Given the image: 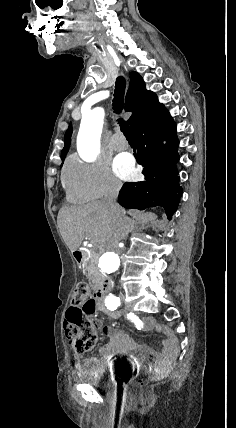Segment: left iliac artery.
<instances>
[{"mask_svg":"<svg viewBox=\"0 0 236 428\" xmlns=\"http://www.w3.org/2000/svg\"><path fill=\"white\" fill-rule=\"evenodd\" d=\"M105 306L107 309L114 311L118 306H120V299L110 293L105 299Z\"/></svg>","mask_w":236,"mask_h":428,"instance_id":"left-iliac-artery-1","label":"left iliac artery"}]
</instances>
